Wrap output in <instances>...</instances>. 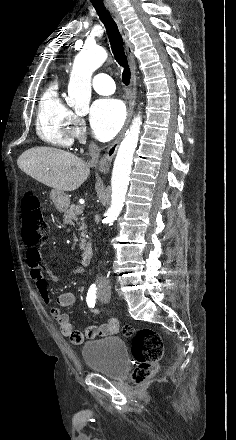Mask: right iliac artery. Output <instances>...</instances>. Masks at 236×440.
<instances>
[{"mask_svg":"<svg viewBox=\"0 0 236 440\" xmlns=\"http://www.w3.org/2000/svg\"><path fill=\"white\" fill-rule=\"evenodd\" d=\"M96 293H97V288L94 285L90 286V288L88 289L87 297H86L87 305L90 308L95 307Z\"/></svg>","mask_w":236,"mask_h":440,"instance_id":"obj_1","label":"right iliac artery"}]
</instances>
